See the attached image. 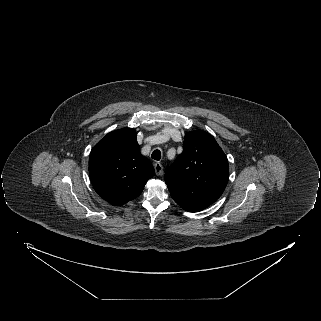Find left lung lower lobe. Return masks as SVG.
Segmentation results:
<instances>
[{"label":"left lung lower lobe","mask_w":321,"mask_h":321,"mask_svg":"<svg viewBox=\"0 0 321 321\" xmlns=\"http://www.w3.org/2000/svg\"><path fill=\"white\" fill-rule=\"evenodd\" d=\"M186 211H189V212H198V211H201L199 209H184Z\"/></svg>","instance_id":"obj_1"}]
</instances>
